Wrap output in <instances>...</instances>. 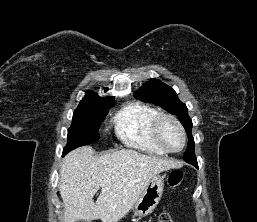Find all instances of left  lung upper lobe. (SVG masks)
Instances as JSON below:
<instances>
[{
  "label": "left lung upper lobe",
  "mask_w": 257,
  "mask_h": 222,
  "mask_svg": "<svg viewBox=\"0 0 257 222\" xmlns=\"http://www.w3.org/2000/svg\"><path fill=\"white\" fill-rule=\"evenodd\" d=\"M134 96L141 101L157 104L169 113L176 115L179 121L183 124L187 136L188 146L183 158L186 162L193 165L197 164V159L194 153V139L191 134L192 120L188 116V109L182 103L174 89L159 80H151L140 89H138Z\"/></svg>",
  "instance_id": "left-lung-upper-lobe-1"
}]
</instances>
